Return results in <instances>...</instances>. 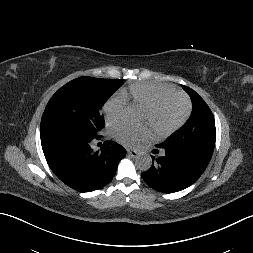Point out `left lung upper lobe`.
Returning <instances> with one entry per match:
<instances>
[{
  "instance_id": "left-lung-upper-lobe-1",
  "label": "left lung upper lobe",
  "mask_w": 253,
  "mask_h": 253,
  "mask_svg": "<svg viewBox=\"0 0 253 253\" xmlns=\"http://www.w3.org/2000/svg\"><path fill=\"white\" fill-rule=\"evenodd\" d=\"M192 100V113L187 123L157 147H177L193 151L210 160L216 138L213 114L205 101L191 88L182 86Z\"/></svg>"
}]
</instances>
